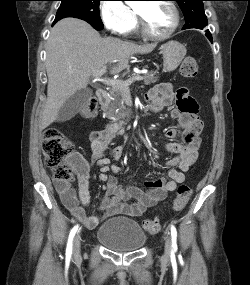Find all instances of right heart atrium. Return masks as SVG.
Segmentation results:
<instances>
[{"label": "right heart atrium", "instance_id": "1", "mask_svg": "<svg viewBox=\"0 0 250 285\" xmlns=\"http://www.w3.org/2000/svg\"><path fill=\"white\" fill-rule=\"evenodd\" d=\"M100 15L105 27L117 34L129 32L136 22L134 12L122 0H104Z\"/></svg>", "mask_w": 250, "mask_h": 285}]
</instances>
